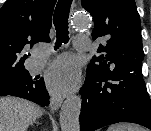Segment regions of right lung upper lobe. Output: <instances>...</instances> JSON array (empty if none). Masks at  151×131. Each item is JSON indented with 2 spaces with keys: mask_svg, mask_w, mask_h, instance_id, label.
<instances>
[{
  "mask_svg": "<svg viewBox=\"0 0 151 131\" xmlns=\"http://www.w3.org/2000/svg\"><path fill=\"white\" fill-rule=\"evenodd\" d=\"M56 0H7L0 10V79L26 70L29 46L49 42Z\"/></svg>",
  "mask_w": 151,
  "mask_h": 131,
  "instance_id": "right-lung-upper-lobe-1",
  "label": "right lung upper lobe"
}]
</instances>
